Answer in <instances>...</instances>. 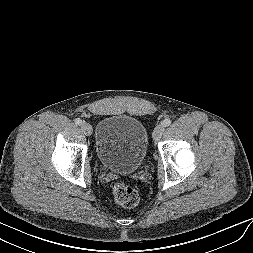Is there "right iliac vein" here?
Instances as JSON below:
<instances>
[{"label":"right iliac vein","instance_id":"obj_1","mask_svg":"<svg viewBox=\"0 0 253 253\" xmlns=\"http://www.w3.org/2000/svg\"><path fill=\"white\" fill-rule=\"evenodd\" d=\"M81 130L87 136L92 134V126L89 123L83 122L81 124Z\"/></svg>","mask_w":253,"mask_h":253}]
</instances>
